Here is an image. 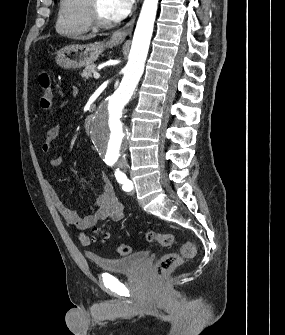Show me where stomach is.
<instances>
[{
  "mask_svg": "<svg viewBox=\"0 0 285 335\" xmlns=\"http://www.w3.org/2000/svg\"><path fill=\"white\" fill-rule=\"evenodd\" d=\"M120 42L110 40L107 44H85V46H65L59 52H56V64L64 68V70H75V68H84L95 62L105 48H113L118 46Z\"/></svg>",
  "mask_w": 285,
  "mask_h": 335,
  "instance_id": "obj_1",
  "label": "stomach"
}]
</instances>
